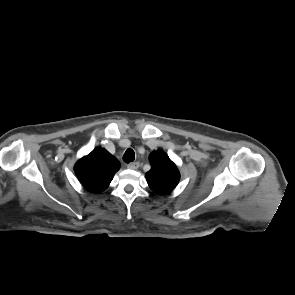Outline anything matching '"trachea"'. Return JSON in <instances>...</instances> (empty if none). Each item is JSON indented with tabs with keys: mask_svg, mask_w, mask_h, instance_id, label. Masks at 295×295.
Wrapping results in <instances>:
<instances>
[{
	"mask_svg": "<svg viewBox=\"0 0 295 295\" xmlns=\"http://www.w3.org/2000/svg\"><path fill=\"white\" fill-rule=\"evenodd\" d=\"M135 159V153L132 149H127L126 152L123 155V161L125 163L133 162Z\"/></svg>",
	"mask_w": 295,
	"mask_h": 295,
	"instance_id": "obj_1",
	"label": "trachea"
}]
</instances>
